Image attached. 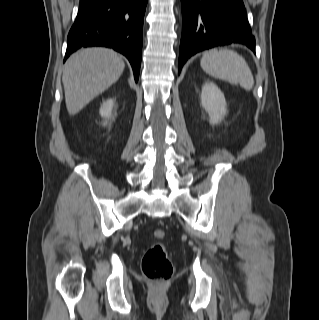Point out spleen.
I'll list each match as a JSON object with an SVG mask.
<instances>
[{"label":"spleen","mask_w":319,"mask_h":320,"mask_svg":"<svg viewBox=\"0 0 319 320\" xmlns=\"http://www.w3.org/2000/svg\"><path fill=\"white\" fill-rule=\"evenodd\" d=\"M200 64L206 73L215 78L239 84L245 90L253 88L254 78L248 64L232 50L211 49L206 51Z\"/></svg>","instance_id":"3e777b00"}]
</instances>
